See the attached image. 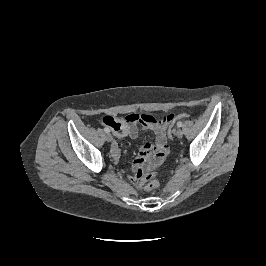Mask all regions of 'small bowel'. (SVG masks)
Returning <instances> with one entry per match:
<instances>
[{
	"mask_svg": "<svg viewBox=\"0 0 266 266\" xmlns=\"http://www.w3.org/2000/svg\"><path fill=\"white\" fill-rule=\"evenodd\" d=\"M176 120V115L171 113L162 118H155L146 114H130L122 118L106 116L103 123L110 127L116 136L129 135L137 138V124L150 128L155 132L156 143L150 142L141 145L139 153L133 164L134 175L130 176L131 182L137 184L144 172L150 171L160 165L168 154L166 130ZM113 154L118 156L117 146L113 147Z\"/></svg>",
	"mask_w": 266,
	"mask_h": 266,
	"instance_id": "1",
	"label": "small bowel"
}]
</instances>
